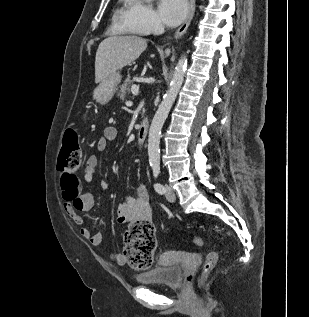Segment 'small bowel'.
I'll return each instance as SVG.
<instances>
[{
    "label": "small bowel",
    "instance_id": "c3829d8e",
    "mask_svg": "<svg viewBox=\"0 0 309 317\" xmlns=\"http://www.w3.org/2000/svg\"><path fill=\"white\" fill-rule=\"evenodd\" d=\"M118 135L117 129L113 126L106 127L103 136L96 143V150L102 152L106 149L109 142L116 140ZM98 157L90 155L83 170V179L86 183H92L98 173ZM62 185V195L64 199V210L66 214L80 226V235L93 246H100L103 241V236L99 232H93L92 229L85 224L82 213L90 211L95 199L91 192L83 191L80 180L73 174L66 184ZM116 217L119 223L133 222L136 220L152 219V209L150 205V196L147 188L144 185H139L136 188L135 196H128L116 208ZM103 251L109 258L118 265H123L126 262V256L122 253L112 251L104 247Z\"/></svg>",
    "mask_w": 309,
    "mask_h": 317
}]
</instances>
